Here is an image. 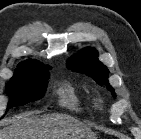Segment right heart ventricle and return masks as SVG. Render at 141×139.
<instances>
[{"instance_id": "e07e8e85", "label": "right heart ventricle", "mask_w": 141, "mask_h": 139, "mask_svg": "<svg viewBox=\"0 0 141 139\" xmlns=\"http://www.w3.org/2000/svg\"><path fill=\"white\" fill-rule=\"evenodd\" d=\"M56 93L59 104L69 110L81 112L88 104V100L71 83L65 82L61 84Z\"/></svg>"}]
</instances>
